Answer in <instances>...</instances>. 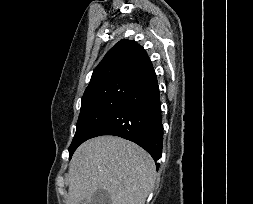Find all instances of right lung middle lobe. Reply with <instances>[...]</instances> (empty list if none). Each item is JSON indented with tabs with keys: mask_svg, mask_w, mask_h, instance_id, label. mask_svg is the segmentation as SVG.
Returning a JSON list of instances; mask_svg holds the SVG:
<instances>
[{
	"mask_svg": "<svg viewBox=\"0 0 253 204\" xmlns=\"http://www.w3.org/2000/svg\"><path fill=\"white\" fill-rule=\"evenodd\" d=\"M136 85L137 82L133 81H119L84 93L76 133L69 147V159L81 143L92 137Z\"/></svg>",
	"mask_w": 253,
	"mask_h": 204,
	"instance_id": "dd1d6c3e",
	"label": "right lung middle lobe"
}]
</instances>
